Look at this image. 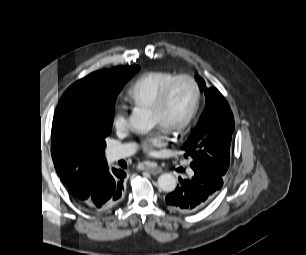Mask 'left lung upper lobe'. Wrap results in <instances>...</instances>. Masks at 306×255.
<instances>
[{
	"instance_id": "5c2ea615",
	"label": "left lung upper lobe",
	"mask_w": 306,
	"mask_h": 255,
	"mask_svg": "<svg viewBox=\"0 0 306 255\" xmlns=\"http://www.w3.org/2000/svg\"><path fill=\"white\" fill-rule=\"evenodd\" d=\"M195 78L205 93L206 110L182 146L184 157L191 159V167L205 166L224 176L229 167L234 117L222 94L216 88H207L199 75Z\"/></svg>"
}]
</instances>
